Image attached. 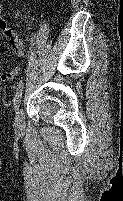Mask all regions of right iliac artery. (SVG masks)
Listing matches in <instances>:
<instances>
[{
    "mask_svg": "<svg viewBox=\"0 0 123 201\" xmlns=\"http://www.w3.org/2000/svg\"><path fill=\"white\" fill-rule=\"evenodd\" d=\"M22 91H23V83H20L17 90H16L14 100H13L15 111H17L19 108V104H20L21 96H22Z\"/></svg>",
    "mask_w": 123,
    "mask_h": 201,
    "instance_id": "right-iliac-artery-1",
    "label": "right iliac artery"
}]
</instances>
